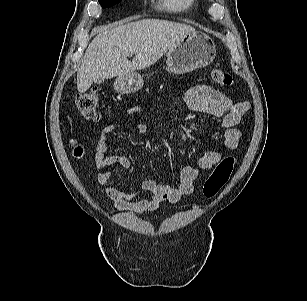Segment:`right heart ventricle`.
<instances>
[{"label":"right heart ventricle","mask_w":307,"mask_h":301,"mask_svg":"<svg viewBox=\"0 0 307 301\" xmlns=\"http://www.w3.org/2000/svg\"><path fill=\"white\" fill-rule=\"evenodd\" d=\"M162 6L171 11H182L192 7L195 0H161Z\"/></svg>","instance_id":"1"}]
</instances>
